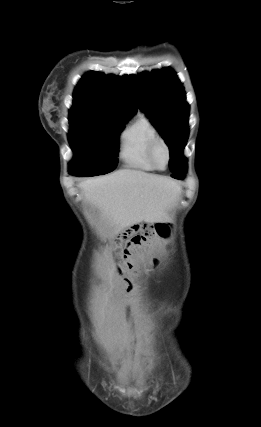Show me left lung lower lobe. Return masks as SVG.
Segmentation results:
<instances>
[{"label": "left lung lower lobe", "mask_w": 261, "mask_h": 427, "mask_svg": "<svg viewBox=\"0 0 261 427\" xmlns=\"http://www.w3.org/2000/svg\"><path fill=\"white\" fill-rule=\"evenodd\" d=\"M186 168H187V165L180 172L172 174V177L177 179H182L184 177L182 174L185 173Z\"/></svg>", "instance_id": "left-lung-lower-lobe-1"}]
</instances>
